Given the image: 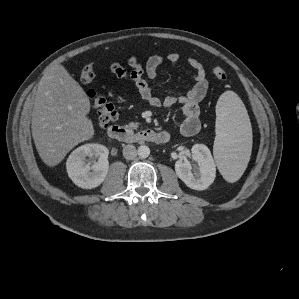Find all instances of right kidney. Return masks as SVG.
Segmentation results:
<instances>
[{
	"mask_svg": "<svg viewBox=\"0 0 299 299\" xmlns=\"http://www.w3.org/2000/svg\"><path fill=\"white\" fill-rule=\"evenodd\" d=\"M108 154V149L101 144L88 143L78 147L66 162L69 178L83 189L98 187L108 174ZM87 157L90 158L89 162Z\"/></svg>",
	"mask_w": 299,
	"mask_h": 299,
	"instance_id": "obj_1",
	"label": "right kidney"
}]
</instances>
